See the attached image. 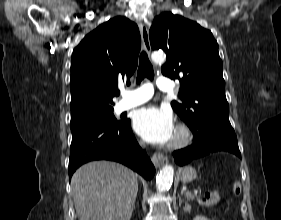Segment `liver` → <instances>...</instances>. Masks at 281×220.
Segmentation results:
<instances>
[{"mask_svg":"<svg viewBox=\"0 0 281 220\" xmlns=\"http://www.w3.org/2000/svg\"><path fill=\"white\" fill-rule=\"evenodd\" d=\"M71 189L79 220H130L138 180L119 163L93 161L76 170Z\"/></svg>","mask_w":281,"mask_h":220,"instance_id":"6515ba94","label":"liver"}]
</instances>
